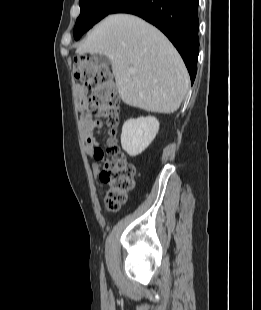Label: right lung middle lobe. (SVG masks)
<instances>
[{"label":"right lung middle lobe","mask_w":261,"mask_h":310,"mask_svg":"<svg viewBox=\"0 0 261 310\" xmlns=\"http://www.w3.org/2000/svg\"><path fill=\"white\" fill-rule=\"evenodd\" d=\"M124 0H79L81 8L74 27V38L78 40L94 24L110 14Z\"/></svg>","instance_id":"dd1d6c3e"}]
</instances>
